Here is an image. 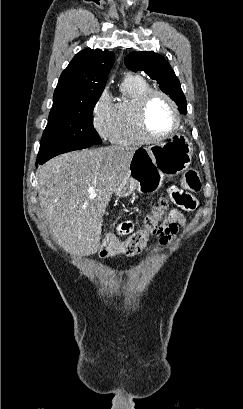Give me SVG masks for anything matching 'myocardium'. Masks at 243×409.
I'll return each instance as SVG.
<instances>
[{
    "label": "myocardium",
    "mask_w": 243,
    "mask_h": 409,
    "mask_svg": "<svg viewBox=\"0 0 243 409\" xmlns=\"http://www.w3.org/2000/svg\"><path fill=\"white\" fill-rule=\"evenodd\" d=\"M154 96H161L169 103V105L172 108L174 118H175V125L173 129L170 132L163 134V135H155L151 133L147 125V119H146L147 107H148L150 100ZM134 117H135V124H136L137 130L139 131L140 135L146 141H151V142L161 141V140L167 139L175 135L179 131L180 126H181V115H180V111L178 109L176 102L170 95H168L167 93L159 89H150L139 98L135 106Z\"/></svg>",
    "instance_id": "myocardium-1"
}]
</instances>
